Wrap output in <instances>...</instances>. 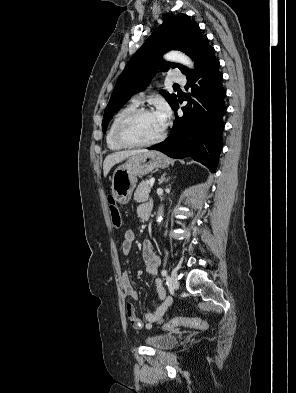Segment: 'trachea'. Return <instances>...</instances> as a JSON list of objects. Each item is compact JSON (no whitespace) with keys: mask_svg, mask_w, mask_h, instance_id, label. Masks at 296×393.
Instances as JSON below:
<instances>
[{"mask_svg":"<svg viewBox=\"0 0 296 393\" xmlns=\"http://www.w3.org/2000/svg\"><path fill=\"white\" fill-rule=\"evenodd\" d=\"M174 87H179V85L175 84Z\"/></svg>","mask_w":296,"mask_h":393,"instance_id":"1","label":"trachea"}]
</instances>
